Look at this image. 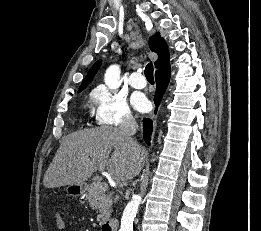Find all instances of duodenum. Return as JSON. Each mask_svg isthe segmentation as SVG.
<instances>
[{
    "label": "duodenum",
    "instance_id": "duodenum-1",
    "mask_svg": "<svg viewBox=\"0 0 261 231\" xmlns=\"http://www.w3.org/2000/svg\"><path fill=\"white\" fill-rule=\"evenodd\" d=\"M119 223L116 220H110L102 225V231H118Z\"/></svg>",
    "mask_w": 261,
    "mask_h": 231
}]
</instances>
